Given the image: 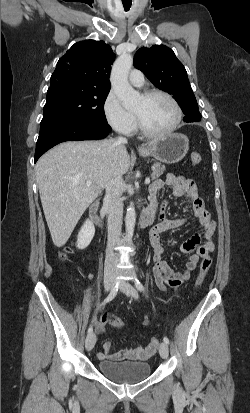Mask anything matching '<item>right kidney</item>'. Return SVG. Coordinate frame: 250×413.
Listing matches in <instances>:
<instances>
[{
	"instance_id": "1",
	"label": "right kidney",
	"mask_w": 250,
	"mask_h": 413,
	"mask_svg": "<svg viewBox=\"0 0 250 413\" xmlns=\"http://www.w3.org/2000/svg\"><path fill=\"white\" fill-rule=\"evenodd\" d=\"M95 234V227L92 220L88 219L84 222L77 237V247L85 249L91 243Z\"/></svg>"
}]
</instances>
